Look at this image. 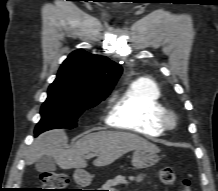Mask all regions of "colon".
Returning <instances> with one entry per match:
<instances>
[{
  "label": "colon",
  "instance_id": "colon-1",
  "mask_svg": "<svg viewBox=\"0 0 218 191\" xmlns=\"http://www.w3.org/2000/svg\"><path fill=\"white\" fill-rule=\"evenodd\" d=\"M159 179L165 185H173L176 181L175 171L170 166H164L159 169ZM42 188L36 191H69L67 186L70 182L66 173L46 172L40 175ZM181 191H191L189 182H181Z\"/></svg>",
  "mask_w": 218,
  "mask_h": 191
}]
</instances>
